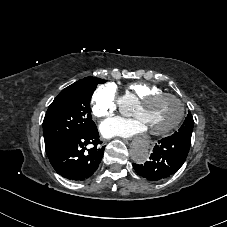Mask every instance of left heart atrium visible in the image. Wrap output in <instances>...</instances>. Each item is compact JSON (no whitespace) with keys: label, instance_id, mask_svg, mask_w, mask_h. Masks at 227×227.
I'll return each instance as SVG.
<instances>
[{"label":"left heart atrium","instance_id":"obj_1","mask_svg":"<svg viewBox=\"0 0 227 227\" xmlns=\"http://www.w3.org/2000/svg\"><path fill=\"white\" fill-rule=\"evenodd\" d=\"M146 127L139 119L114 118L103 122L100 125V132L104 137H132L142 134Z\"/></svg>","mask_w":227,"mask_h":227}]
</instances>
